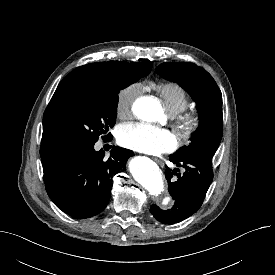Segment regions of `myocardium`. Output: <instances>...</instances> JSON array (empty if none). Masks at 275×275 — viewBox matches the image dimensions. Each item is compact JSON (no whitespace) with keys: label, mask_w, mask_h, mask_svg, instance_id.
<instances>
[{"label":"myocardium","mask_w":275,"mask_h":275,"mask_svg":"<svg viewBox=\"0 0 275 275\" xmlns=\"http://www.w3.org/2000/svg\"><path fill=\"white\" fill-rule=\"evenodd\" d=\"M174 126L181 140H188L199 126V117L193 111H182L173 116Z\"/></svg>","instance_id":"f54148a6"}]
</instances>
